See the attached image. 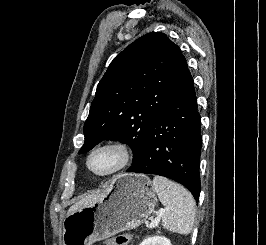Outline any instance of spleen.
Segmentation results:
<instances>
[{
	"label": "spleen",
	"mask_w": 266,
	"mask_h": 245,
	"mask_svg": "<svg viewBox=\"0 0 266 245\" xmlns=\"http://www.w3.org/2000/svg\"><path fill=\"white\" fill-rule=\"evenodd\" d=\"M153 185L160 203L165 207L162 217L164 229L179 235H189L196 215V203L191 193L181 185L168 181L166 177H154Z\"/></svg>",
	"instance_id": "1"
}]
</instances>
